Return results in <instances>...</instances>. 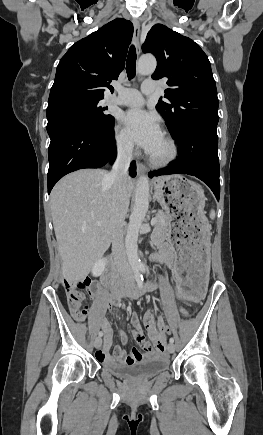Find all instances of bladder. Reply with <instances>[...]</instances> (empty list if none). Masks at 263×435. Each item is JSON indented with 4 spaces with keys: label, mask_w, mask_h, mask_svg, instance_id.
<instances>
[{
    "label": "bladder",
    "mask_w": 263,
    "mask_h": 435,
    "mask_svg": "<svg viewBox=\"0 0 263 435\" xmlns=\"http://www.w3.org/2000/svg\"><path fill=\"white\" fill-rule=\"evenodd\" d=\"M168 365L167 357L156 355L133 364L104 363L103 367L111 374L121 378L144 380L162 373Z\"/></svg>",
    "instance_id": "bladder-1"
}]
</instances>
